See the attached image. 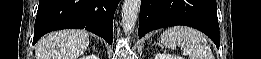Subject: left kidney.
I'll use <instances>...</instances> for the list:
<instances>
[{
	"mask_svg": "<svg viewBox=\"0 0 261 59\" xmlns=\"http://www.w3.org/2000/svg\"><path fill=\"white\" fill-rule=\"evenodd\" d=\"M155 59H183L180 56H176V55H171V54H166V53H158L155 56Z\"/></svg>",
	"mask_w": 261,
	"mask_h": 59,
	"instance_id": "1",
	"label": "left kidney"
}]
</instances>
